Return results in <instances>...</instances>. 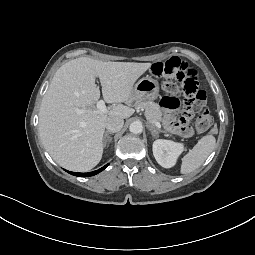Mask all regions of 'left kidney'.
Wrapping results in <instances>:
<instances>
[{"instance_id": "5707ae66", "label": "left kidney", "mask_w": 255, "mask_h": 255, "mask_svg": "<svg viewBox=\"0 0 255 255\" xmlns=\"http://www.w3.org/2000/svg\"><path fill=\"white\" fill-rule=\"evenodd\" d=\"M183 150V144L171 140L157 139L153 143V155L164 168L173 167Z\"/></svg>"}]
</instances>
